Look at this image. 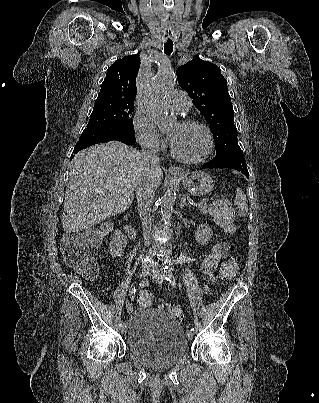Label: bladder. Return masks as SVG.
Wrapping results in <instances>:
<instances>
[{
  "label": "bladder",
  "mask_w": 319,
  "mask_h": 403,
  "mask_svg": "<svg viewBox=\"0 0 319 403\" xmlns=\"http://www.w3.org/2000/svg\"><path fill=\"white\" fill-rule=\"evenodd\" d=\"M126 341L130 354L152 369L174 366L189 349L180 322L152 308L137 309L130 314Z\"/></svg>",
  "instance_id": "bladder-1"
}]
</instances>
